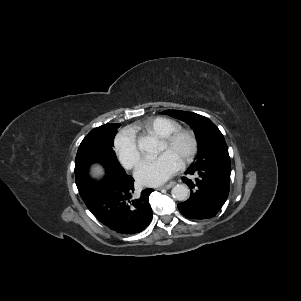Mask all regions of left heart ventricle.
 I'll list each match as a JSON object with an SVG mask.
<instances>
[{
	"label": "left heart ventricle",
	"mask_w": 301,
	"mask_h": 301,
	"mask_svg": "<svg viewBox=\"0 0 301 301\" xmlns=\"http://www.w3.org/2000/svg\"><path fill=\"white\" fill-rule=\"evenodd\" d=\"M189 148H190L189 140L184 138L174 146H168L167 144L162 142L159 148V152L160 153L169 152L181 161L183 156L188 152Z\"/></svg>",
	"instance_id": "b2bd125f"
}]
</instances>
